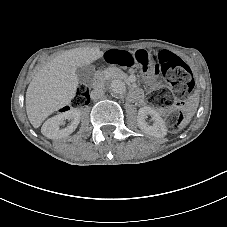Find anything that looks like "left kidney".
<instances>
[{"label":"left kidney","mask_w":227,"mask_h":227,"mask_svg":"<svg viewBox=\"0 0 227 227\" xmlns=\"http://www.w3.org/2000/svg\"><path fill=\"white\" fill-rule=\"evenodd\" d=\"M150 115L154 121L153 125H148L146 122L147 116ZM138 127L146 134L157 138H163L167 134V128L164 120L159 113L151 107H141L138 110L137 116Z\"/></svg>","instance_id":"left-kidney-1"}]
</instances>
